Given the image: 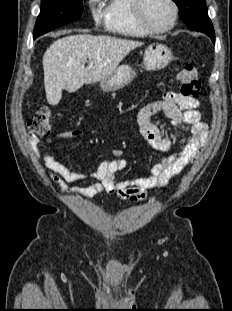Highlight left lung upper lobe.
<instances>
[{
	"instance_id": "left-lung-upper-lobe-1",
	"label": "left lung upper lobe",
	"mask_w": 232,
	"mask_h": 311,
	"mask_svg": "<svg viewBox=\"0 0 232 311\" xmlns=\"http://www.w3.org/2000/svg\"><path fill=\"white\" fill-rule=\"evenodd\" d=\"M179 10L183 22L194 29L203 25L208 19V12L205 0H173Z\"/></svg>"
}]
</instances>
